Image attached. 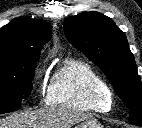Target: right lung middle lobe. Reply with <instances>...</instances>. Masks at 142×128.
Wrapping results in <instances>:
<instances>
[{
  "label": "right lung middle lobe",
  "instance_id": "1",
  "mask_svg": "<svg viewBox=\"0 0 142 128\" xmlns=\"http://www.w3.org/2000/svg\"><path fill=\"white\" fill-rule=\"evenodd\" d=\"M37 61L25 64L14 74H0V114L18 110L21 100L28 97Z\"/></svg>",
  "mask_w": 142,
  "mask_h": 128
}]
</instances>
